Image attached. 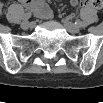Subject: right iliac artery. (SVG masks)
Returning a JSON list of instances; mask_svg holds the SVG:
<instances>
[{
  "label": "right iliac artery",
  "mask_w": 103,
  "mask_h": 103,
  "mask_svg": "<svg viewBox=\"0 0 103 103\" xmlns=\"http://www.w3.org/2000/svg\"><path fill=\"white\" fill-rule=\"evenodd\" d=\"M31 16H32V14L30 12H28V13L23 15V20H28L31 18Z\"/></svg>",
  "instance_id": "obj_1"
}]
</instances>
